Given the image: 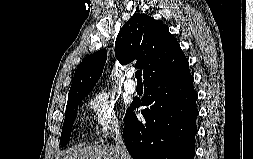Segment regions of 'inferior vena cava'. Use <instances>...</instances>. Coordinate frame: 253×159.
Wrapping results in <instances>:
<instances>
[{
    "label": "inferior vena cava",
    "instance_id": "602c4592",
    "mask_svg": "<svg viewBox=\"0 0 253 159\" xmlns=\"http://www.w3.org/2000/svg\"><path fill=\"white\" fill-rule=\"evenodd\" d=\"M115 149L118 153L119 159H131L130 155L127 152L126 146L124 144L122 135H120L119 130L116 131V137H115Z\"/></svg>",
    "mask_w": 253,
    "mask_h": 159
}]
</instances>
